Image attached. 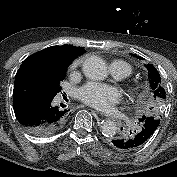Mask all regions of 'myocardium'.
<instances>
[{"instance_id": "f54148a6", "label": "myocardium", "mask_w": 177, "mask_h": 177, "mask_svg": "<svg viewBox=\"0 0 177 177\" xmlns=\"http://www.w3.org/2000/svg\"><path fill=\"white\" fill-rule=\"evenodd\" d=\"M126 91L132 96H138L140 94V86L137 83H128Z\"/></svg>"}]
</instances>
